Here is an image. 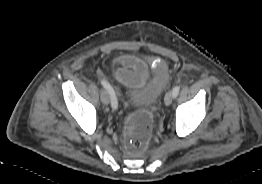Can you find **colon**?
Here are the masks:
<instances>
[{"mask_svg":"<svg viewBox=\"0 0 262 184\" xmlns=\"http://www.w3.org/2000/svg\"><path fill=\"white\" fill-rule=\"evenodd\" d=\"M152 131V116L148 112H137L128 123L127 149L133 154L142 153Z\"/></svg>","mask_w":262,"mask_h":184,"instance_id":"1","label":"colon"}]
</instances>
